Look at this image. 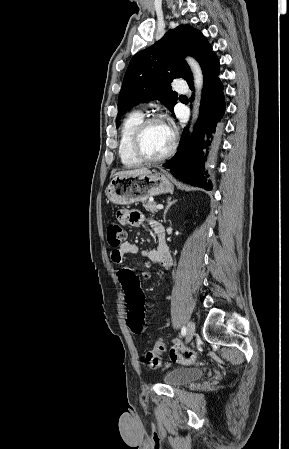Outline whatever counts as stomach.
<instances>
[{"mask_svg":"<svg viewBox=\"0 0 289 449\" xmlns=\"http://www.w3.org/2000/svg\"><path fill=\"white\" fill-rule=\"evenodd\" d=\"M173 184L167 174L155 172L147 175L115 176L106 189L108 200L117 205H130L150 197L172 193Z\"/></svg>","mask_w":289,"mask_h":449,"instance_id":"1","label":"stomach"}]
</instances>
